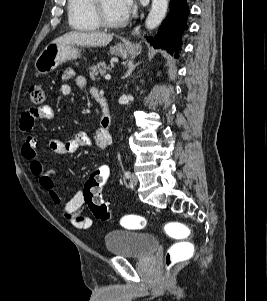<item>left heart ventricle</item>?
Masks as SVG:
<instances>
[{"label": "left heart ventricle", "mask_w": 267, "mask_h": 301, "mask_svg": "<svg viewBox=\"0 0 267 301\" xmlns=\"http://www.w3.org/2000/svg\"><path fill=\"white\" fill-rule=\"evenodd\" d=\"M102 9L104 15L110 21H118L124 18L117 10L114 0H102Z\"/></svg>", "instance_id": "obj_1"}]
</instances>
